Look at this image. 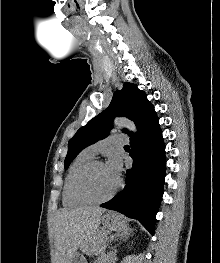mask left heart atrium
<instances>
[{
    "mask_svg": "<svg viewBox=\"0 0 220 263\" xmlns=\"http://www.w3.org/2000/svg\"><path fill=\"white\" fill-rule=\"evenodd\" d=\"M105 165L111 175L118 179L121 172V163L119 158L117 156H111Z\"/></svg>",
    "mask_w": 220,
    "mask_h": 263,
    "instance_id": "left-heart-atrium-1",
    "label": "left heart atrium"
}]
</instances>
